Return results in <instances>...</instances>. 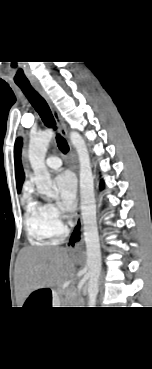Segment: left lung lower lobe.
I'll use <instances>...</instances> for the list:
<instances>
[{
  "mask_svg": "<svg viewBox=\"0 0 152 369\" xmlns=\"http://www.w3.org/2000/svg\"><path fill=\"white\" fill-rule=\"evenodd\" d=\"M100 187H101V188L103 187L102 183H101Z\"/></svg>",
  "mask_w": 152,
  "mask_h": 369,
  "instance_id": "left-lung-lower-lobe-1",
  "label": "left lung lower lobe"
}]
</instances>
